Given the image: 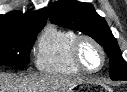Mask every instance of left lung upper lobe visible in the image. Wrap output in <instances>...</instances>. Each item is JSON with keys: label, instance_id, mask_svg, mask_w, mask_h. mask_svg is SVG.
<instances>
[{"label": "left lung upper lobe", "instance_id": "obj_1", "mask_svg": "<svg viewBox=\"0 0 127 92\" xmlns=\"http://www.w3.org/2000/svg\"><path fill=\"white\" fill-rule=\"evenodd\" d=\"M50 21L59 26L81 31L102 45L110 59V78L127 80V63L104 18L90 3L60 0L49 8Z\"/></svg>", "mask_w": 127, "mask_h": 92}]
</instances>
